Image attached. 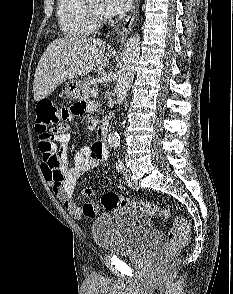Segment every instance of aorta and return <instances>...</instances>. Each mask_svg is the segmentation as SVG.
<instances>
[{
    "instance_id": "1",
    "label": "aorta",
    "mask_w": 233,
    "mask_h": 294,
    "mask_svg": "<svg viewBox=\"0 0 233 294\" xmlns=\"http://www.w3.org/2000/svg\"><path fill=\"white\" fill-rule=\"evenodd\" d=\"M140 55V36L132 35L124 47L121 63L117 72V81L115 86L116 100L121 104L128 93L130 85L134 79L136 65ZM109 145L116 149L120 146V135L118 132H112L108 136Z\"/></svg>"
}]
</instances>
